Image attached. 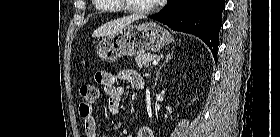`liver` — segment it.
Segmentation results:
<instances>
[{
  "label": "liver",
  "mask_w": 280,
  "mask_h": 137,
  "mask_svg": "<svg viewBox=\"0 0 280 137\" xmlns=\"http://www.w3.org/2000/svg\"><path fill=\"white\" fill-rule=\"evenodd\" d=\"M142 18H143L142 16L130 15L127 17H123L120 19L110 21L108 23H105L98 29H96L93 32L92 37L111 36V35L119 32L123 28L131 25V23H133L134 21H136L138 19H142Z\"/></svg>",
  "instance_id": "liver-1"
}]
</instances>
